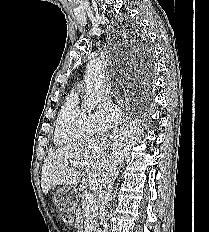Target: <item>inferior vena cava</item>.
I'll return each instance as SVG.
<instances>
[{"mask_svg":"<svg viewBox=\"0 0 209 232\" xmlns=\"http://www.w3.org/2000/svg\"><path fill=\"white\" fill-rule=\"evenodd\" d=\"M109 138H112V135H110ZM109 152L116 153L115 147L110 148ZM116 165H117L116 161H112L107 166L105 172L101 177L99 190H98V199H99V208H100L99 215L101 219L100 224L103 225L104 227L107 226V223L105 221L106 206L112 195L114 180L117 176Z\"/></svg>","mask_w":209,"mask_h":232,"instance_id":"1","label":"inferior vena cava"}]
</instances>
